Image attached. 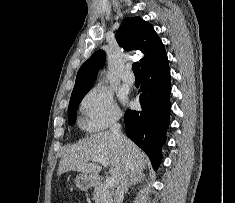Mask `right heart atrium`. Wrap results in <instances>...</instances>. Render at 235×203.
<instances>
[{
    "label": "right heart atrium",
    "mask_w": 235,
    "mask_h": 203,
    "mask_svg": "<svg viewBox=\"0 0 235 203\" xmlns=\"http://www.w3.org/2000/svg\"><path fill=\"white\" fill-rule=\"evenodd\" d=\"M80 109L84 115V125L90 131L103 130L121 117L112 92L101 84L95 85L86 93Z\"/></svg>",
    "instance_id": "d8ad5b80"
}]
</instances>
